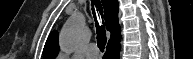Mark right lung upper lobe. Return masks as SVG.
Returning a JSON list of instances; mask_svg holds the SVG:
<instances>
[{"label":"right lung upper lobe","mask_w":193,"mask_h":59,"mask_svg":"<svg viewBox=\"0 0 193 59\" xmlns=\"http://www.w3.org/2000/svg\"><path fill=\"white\" fill-rule=\"evenodd\" d=\"M104 7V17L107 30L111 32V39L109 42H113L120 36V26L118 24V1L117 0H102ZM59 51L58 46V34L56 31L50 33L44 50L43 56L45 59H52L57 56Z\"/></svg>","instance_id":"1"}]
</instances>
